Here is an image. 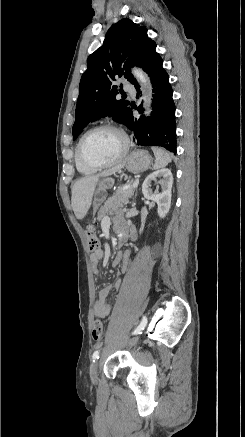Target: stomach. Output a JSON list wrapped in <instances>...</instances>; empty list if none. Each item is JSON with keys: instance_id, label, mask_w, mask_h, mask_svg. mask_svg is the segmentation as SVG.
I'll use <instances>...</instances> for the list:
<instances>
[{"instance_id": "1", "label": "stomach", "mask_w": 245, "mask_h": 437, "mask_svg": "<svg viewBox=\"0 0 245 437\" xmlns=\"http://www.w3.org/2000/svg\"><path fill=\"white\" fill-rule=\"evenodd\" d=\"M152 163V157L147 151L134 150L132 151L125 162V168L132 173H141L146 171ZM114 184L112 178H105L100 183L94 192L93 207L97 210L98 207L105 201L107 190Z\"/></svg>"}]
</instances>
